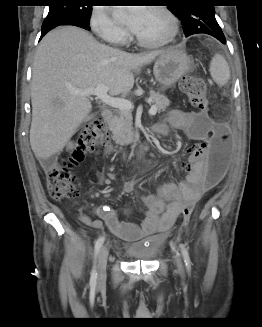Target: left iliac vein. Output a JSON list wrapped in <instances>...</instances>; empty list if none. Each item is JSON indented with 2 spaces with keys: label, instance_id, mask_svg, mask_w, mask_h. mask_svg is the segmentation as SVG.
<instances>
[{
  "label": "left iliac vein",
  "instance_id": "left-iliac-vein-1",
  "mask_svg": "<svg viewBox=\"0 0 262 327\" xmlns=\"http://www.w3.org/2000/svg\"><path fill=\"white\" fill-rule=\"evenodd\" d=\"M175 260H176V264H177V267H178L179 271L181 273H183V265H182L181 259L178 256H176Z\"/></svg>",
  "mask_w": 262,
  "mask_h": 327
}]
</instances>
